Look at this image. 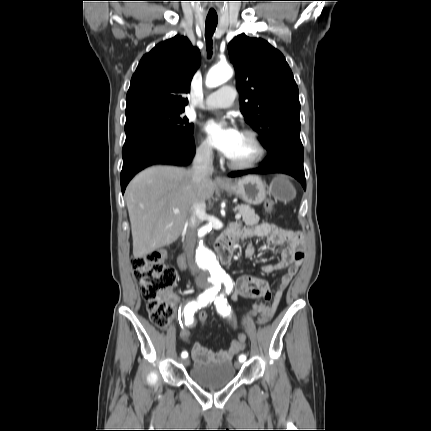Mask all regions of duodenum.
Masks as SVG:
<instances>
[{"label": "duodenum", "mask_w": 431, "mask_h": 431, "mask_svg": "<svg viewBox=\"0 0 431 431\" xmlns=\"http://www.w3.org/2000/svg\"><path fill=\"white\" fill-rule=\"evenodd\" d=\"M238 237V233L235 230H230L227 236L219 241L218 251L221 261L224 264H228L231 261ZM179 262H183L185 264L184 257H180L178 263Z\"/></svg>", "instance_id": "duodenum-1"}]
</instances>
